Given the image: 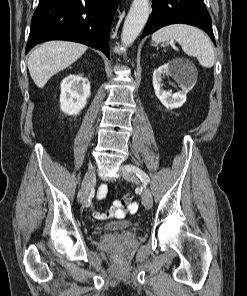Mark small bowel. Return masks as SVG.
<instances>
[{"mask_svg":"<svg viewBox=\"0 0 247 296\" xmlns=\"http://www.w3.org/2000/svg\"><path fill=\"white\" fill-rule=\"evenodd\" d=\"M107 192H108V188H107V186L106 185H101L100 187H99V190H98V196L100 197V198H102V197H104L106 194H107ZM118 201V200H117ZM117 201H115L114 202V208H115V211H113L112 213H114V212H116V211H120V207H118V205H117ZM132 209H138V205L135 203V204H132L131 206H130V210H132ZM111 213V214H112ZM97 217L98 218H103L104 217V214H97Z\"/></svg>","mask_w":247,"mask_h":296,"instance_id":"1","label":"small bowel"}]
</instances>
